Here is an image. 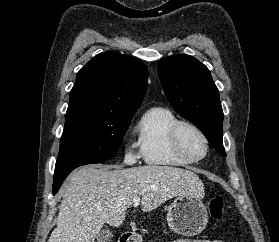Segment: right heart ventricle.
<instances>
[{"label":"right heart ventricle","instance_id":"e07e8e85","mask_svg":"<svg viewBox=\"0 0 279 242\" xmlns=\"http://www.w3.org/2000/svg\"><path fill=\"white\" fill-rule=\"evenodd\" d=\"M178 121L163 107H152L141 117L137 126L139 154L148 165L183 167L190 164L176 154L170 141V131Z\"/></svg>","mask_w":279,"mask_h":242}]
</instances>
